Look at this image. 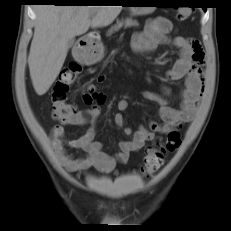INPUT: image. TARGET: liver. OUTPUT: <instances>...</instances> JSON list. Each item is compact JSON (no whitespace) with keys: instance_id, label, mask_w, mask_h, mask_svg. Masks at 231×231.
Masks as SVG:
<instances>
[{"instance_id":"obj_1","label":"liver","mask_w":231,"mask_h":231,"mask_svg":"<svg viewBox=\"0 0 231 231\" xmlns=\"http://www.w3.org/2000/svg\"><path fill=\"white\" fill-rule=\"evenodd\" d=\"M121 10L122 6L37 5L28 57L36 93L45 94L56 80L67 56L69 40L86 33L90 27L110 25Z\"/></svg>"}]
</instances>
